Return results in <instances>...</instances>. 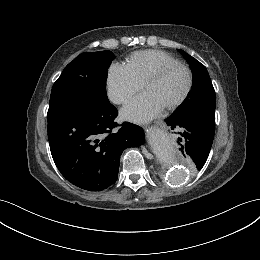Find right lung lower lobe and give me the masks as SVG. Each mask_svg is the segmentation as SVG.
<instances>
[{"label":"right lung lower lobe","instance_id":"1","mask_svg":"<svg viewBox=\"0 0 260 260\" xmlns=\"http://www.w3.org/2000/svg\"><path fill=\"white\" fill-rule=\"evenodd\" d=\"M117 109L107 106L91 111H63L47 115L48 139L53 160L72 184L88 191H101L115 183L124 149L144 142L143 129L117 123Z\"/></svg>","mask_w":260,"mask_h":260}]
</instances>
